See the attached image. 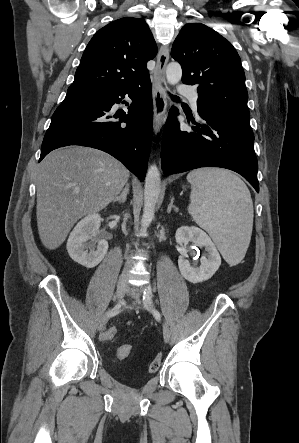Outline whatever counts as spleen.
Returning a JSON list of instances; mask_svg holds the SVG:
<instances>
[{"label":"spleen","instance_id":"obj_1","mask_svg":"<svg viewBox=\"0 0 299 443\" xmlns=\"http://www.w3.org/2000/svg\"><path fill=\"white\" fill-rule=\"evenodd\" d=\"M192 185L188 211L206 230L223 258L238 264L247 251L253 226V203L244 182L228 170L198 169L187 176Z\"/></svg>","mask_w":299,"mask_h":443}]
</instances>
